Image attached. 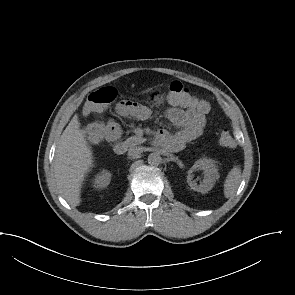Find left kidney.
Returning <instances> with one entry per match:
<instances>
[{"label":"left kidney","instance_id":"1","mask_svg":"<svg viewBox=\"0 0 295 295\" xmlns=\"http://www.w3.org/2000/svg\"><path fill=\"white\" fill-rule=\"evenodd\" d=\"M195 170H203V173H204V179L199 185L195 181H193L192 173ZM218 178H219V173L213 160L203 158V159L197 160L194 163V165L188 170L187 182L189 186L191 187V189L204 194L213 188L215 181Z\"/></svg>","mask_w":295,"mask_h":295}]
</instances>
